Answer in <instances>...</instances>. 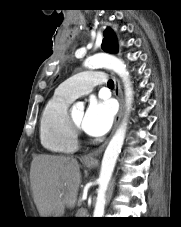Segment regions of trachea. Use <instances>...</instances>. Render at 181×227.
I'll return each instance as SVG.
<instances>
[{
  "label": "trachea",
  "instance_id": "1",
  "mask_svg": "<svg viewBox=\"0 0 181 227\" xmlns=\"http://www.w3.org/2000/svg\"><path fill=\"white\" fill-rule=\"evenodd\" d=\"M108 87H110V88L114 87V82L112 80L108 81Z\"/></svg>",
  "mask_w": 181,
  "mask_h": 227
}]
</instances>
